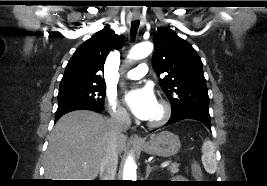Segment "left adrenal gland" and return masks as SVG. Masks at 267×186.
Masks as SVG:
<instances>
[{"mask_svg": "<svg viewBox=\"0 0 267 186\" xmlns=\"http://www.w3.org/2000/svg\"><path fill=\"white\" fill-rule=\"evenodd\" d=\"M154 170V167H151L150 164H147V168H146V176L145 178L147 179L150 175V173Z\"/></svg>", "mask_w": 267, "mask_h": 186, "instance_id": "a2214340", "label": "left adrenal gland"}]
</instances>
